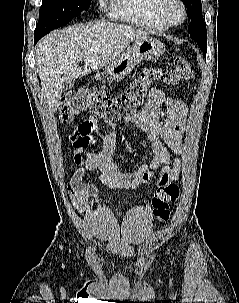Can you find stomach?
Instances as JSON below:
<instances>
[{
	"mask_svg": "<svg viewBox=\"0 0 239 303\" xmlns=\"http://www.w3.org/2000/svg\"><path fill=\"white\" fill-rule=\"evenodd\" d=\"M165 53L164 45L157 39L147 36L135 40L133 45L111 64L107 65L102 73H97L94 78L102 77L110 81H120L134 69L137 63L143 60H155Z\"/></svg>",
	"mask_w": 239,
	"mask_h": 303,
	"instance_id": "stomach-1",
	"label": "stomach"
}]
</instances>
